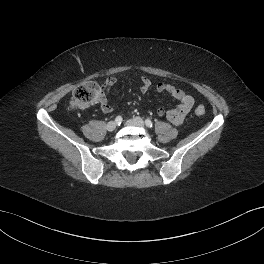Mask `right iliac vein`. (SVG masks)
I'll return each mask as SVG.
<instances>
[{"label": "right iliac vein", "instance_id": "63e3f726", "mask_svg": "<svg viewBox=\"0 0 264 264\" xmlns=\"http://www.w3.org/2000/svg\"><path fill=\"white\" fill-rule=\"evenodd\" d=\"M116 127H117V123L114 121H110L106 126L107 130L110 132L114 131Z\"/></svg>", "mask_w": 264, "mask_h": 264}]
</instances>
